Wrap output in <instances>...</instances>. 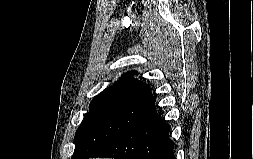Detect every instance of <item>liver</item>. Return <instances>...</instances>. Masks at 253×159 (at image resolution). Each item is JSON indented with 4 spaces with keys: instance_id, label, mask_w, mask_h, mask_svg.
I'll return each mask as SVG.
<instances>
[{
    "instance_id": "1",
    "label": "liver",
    "mask_w": 253,
    "mask_h": 159,
    "mask_svg": "<svg viewBox=\"0 0 253 159\" xmlns=\"http://www.w3.org/2000/svg\"><path fill=\"white\" fill-rule=\"evenodd\" d=\"M93 159H101V158H93Z\"/></svg>"
}]
</instances>
